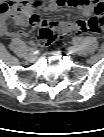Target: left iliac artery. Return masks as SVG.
<instances>
[{"instance_id": "44dca946", "label": "left iliac artery", "mask_w": 104, "mask_h": 137, "mask_svg": "<svg viewBox=\"0 0 104 137\" xmlns=\"http://www.w3.org/2000/svg\"><path fill=\"white\" fill-rule=\"evenodd\" d=\"M78 42H79V38L74 37V38H73V43L76 45Z\"/></svg>"}]
</instances>
